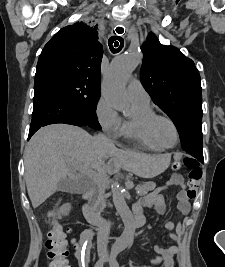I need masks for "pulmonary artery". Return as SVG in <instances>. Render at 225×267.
Returning a JSON list of instances; mask_svg holds the SVG:
<instances>
[{"instance_id": "e3ab8cb5", "label": "pulmonary artery", "mask_w": 225, "mask_h": 267, "mask_svg": "<svg viewBox=\"0 0 225 267\" xmlns=\"http://www.w3.org/2000/svg\"><path fill=\"white\" fill-rule=\"evenodd\" d=\"M127 93L131 100L147 101L149 100V94L141 84V82L133 78L128 84Z\"/></svg>"}]
</instances>
